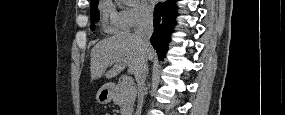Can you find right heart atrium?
<instances>
[{"mask_svg": "<svg viewBox=\"0 0 285 115\" xmlns=\"http://www.w3.org/2000/svg\"><path fill=\"white\" fill-rule=\"evenodd\" d=\"M123 29L131 30L147 25L152 20L151 10L141 2H134L120 11Z\"/></svg>", "mask_w": 285, "mask_h": 115, "instance_id": "obj_1", "label": "right heart atrium"}]
</instances>
